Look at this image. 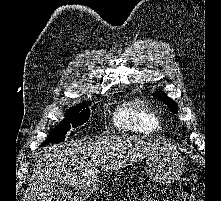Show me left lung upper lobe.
Segmentation results:
<instances>
[{
  "instance_id": "left-lung-upper-lobe-1",
  "label": "left lung upper lobe",
  "mask_w": 221,
  "mask_h": 201,
  "mask_svg": "<svg viewBox=\"0 0 221 201\" xmlns=\"http://www.w3.org/2000/svg\"><path fill=\"white\" fill-rule=\"evenodd\" d=\"M153 96L164 102L173 112H178V106L171 98H169L163 91H156Z\"/></svg>"
}]
</instances>
